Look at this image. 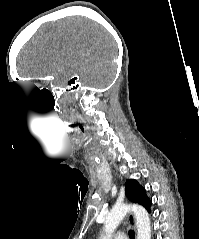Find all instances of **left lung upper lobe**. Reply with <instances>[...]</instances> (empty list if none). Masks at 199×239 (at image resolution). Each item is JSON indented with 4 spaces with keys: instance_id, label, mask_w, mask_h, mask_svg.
<instances>
[{
    "instance_id": "5c2ea615",
    "label": "left lung upper lobe",
    "mask_w": 199,
    "mask_h": 239,
    "mask_svg": "<svg viewBox=\"0 0 199 239\" xmlns=\"http://www.w3.org/2000/svg\"><path fill=\"white\" fill-rule=\"evenodd\" d=\"M125 187L128 199L144 206L150 212L151 201L147 197L144 188L134 179L127 180Z\"/></svg>"
}]
</instances>
